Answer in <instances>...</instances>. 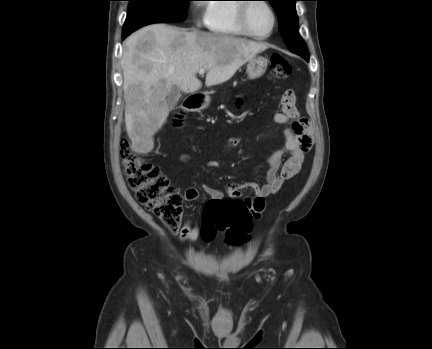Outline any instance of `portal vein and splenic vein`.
<instances>
[{
	"label": "portal vein and splenic vein",
	"mask_w": 432,
	"mask_h": 349,
	"mask_svg": "<svg viewBox=\"0 0 432 349\" xmlns=\"http://www.w3.org/2000/svg\"><path fill=\"white\" fill-rule=\"evenodd\" d=\"M200 75H203L205 73V69H200L198 72Z\"/></svg>",
	"instance_id": "18ae733b"
}]
</instances>
